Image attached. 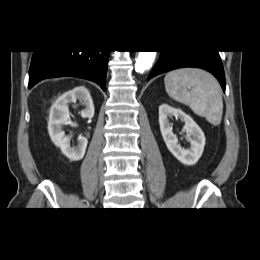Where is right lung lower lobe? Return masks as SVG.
I'll return each mask as SVG.
<instances>
[{
    "instance_id": "obj_1",
    "label": "right lung lower lobe",
    "mask_w": 260,
    "mask_h": 260,
    "mask_svg": "<svg viewBox=\"0 0 260 260\" xmlns=\"http://www.w3.org/2000/svg\"><path fill=\"white\" fill-rule=\"evenodd\" d=\"M110 51H34L29 71V89L43 79L73 76L106 87Z\"/></svg>"
}]
</instances>
